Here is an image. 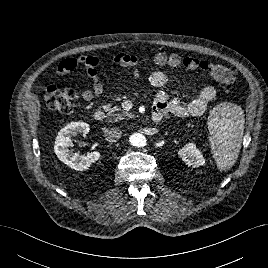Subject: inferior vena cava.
I'll return each instance as SVG.
<instances>
[{
  "mask_svg": "<svg viewBox=\"0 0 268 268\" xmlns=\"http://www.w3.org/2000/svg\"><path fill=\"white\" fill-rule=\"evenodd\" d=\"M122 132L118 128H110L105 131V138L109 142H116L120 139Z\"/></svg>",
  "mask_w": 268,
  "mask_h": 268,
  "instance_id": "obj_1",
  "label": "inferior vena cava"
}]
</instances>
